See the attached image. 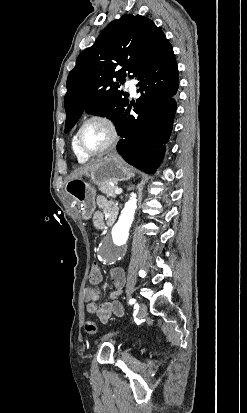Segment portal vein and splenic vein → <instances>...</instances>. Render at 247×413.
I'll return each instance as SVG.
<instances>
[{
	"label": "portal vein and splenic vein",
	"instance_id": "obj_1",
	"mask_svg": "<svg viewBox=\"0 0 247 413\" xmlns=\"http://www.w3.org/2000/svg\"><path fill=\"white\" fill-rule=\"evenodd\" d=\"M122 188H115L114 194H121Z\"/></svg>",
	"mask_w": 247,
	"mask_h": 413
}]
</instances>
